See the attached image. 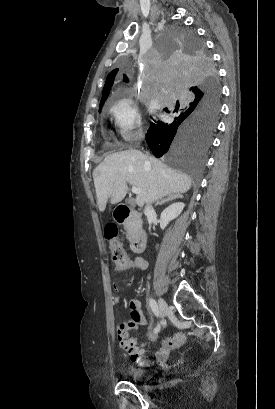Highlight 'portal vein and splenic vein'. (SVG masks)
Listing matches in <instances>:
<instances>
[{"label":"portal vein and splenic vein","mask_w":275,"mask_h":409,"mask_svg":"<svg viewBox=\"0 0 275 409\" xmlns=\"http://www.w3.org/2000/svg\"><path fill=\"white\" fill-rule=\"evenodd\" d=\"M132 192H135V194H139V192H141V188H136V186H132Z\"/></svg>","instance_id":"18ae733b"}]
</instances>
